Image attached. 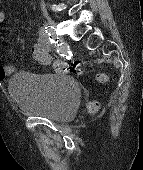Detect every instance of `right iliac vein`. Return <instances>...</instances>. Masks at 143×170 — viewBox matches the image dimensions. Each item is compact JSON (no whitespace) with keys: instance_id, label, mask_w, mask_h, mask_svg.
Returning a JSON list of instances; mask_svg holds the SVG:
<instances>
[{"instance_id":"63e3f726","label":"right iliac vein","mask_w":143,"mask_h":170,"mask_svg":"<svg viewBox=\"0 0 143 170\" xmlns=\"http://www.w3.org/2000/svg\"><path fill=\"white\" fill-rule=\"evenodd\" d=\"M44 16H45L48 24L55 26V22L53 21V19L50 18V16L47 13H44Z\"/></svg>"}]
</instances>
